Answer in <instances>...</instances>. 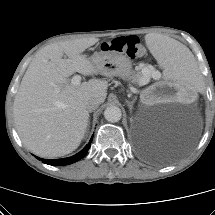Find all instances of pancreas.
I'll return each mask as SVG.
<instances>
[{
	"mask_svg": "<svg viewBox=\"0 0 215 215\" xmlns=\"http://www.w3.org/2000/svg\"><path fill=\"white\" fill-rule=\"evenodd\" d=\"M141 77L140 74L136 75V79H137V82H138V79Z\"/></svg>",
	"mask_w": 215,
	"mask_h": 215,
	"instance_id": "cf45deb5",
	"label": "pancreas"
}]
</instances>
